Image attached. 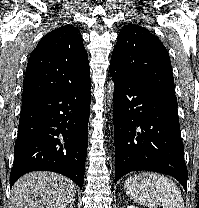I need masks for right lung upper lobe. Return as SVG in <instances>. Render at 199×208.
Listing matches in <instances>:
<instances>
[{"label": "right lung upper lobe", "instance_id": "obj_1", "mask_svg": "<svg viewBox=\"0 0 199 208\" xmlns=\"http://www.w3.org/2000/svg\"><path fill=\"white\" fill-rule=\"evenodd\" d=\"M88 79L90 67L80 31L65 25L45 35L31 53L22 100L74 87Z\"/></svg>", "mask_w": 199, "mask_h": 208}]
</instances>
